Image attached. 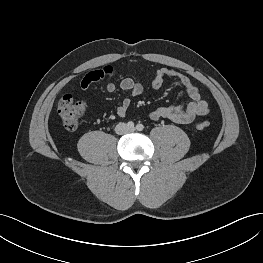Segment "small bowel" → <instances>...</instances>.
Wrapping results in <instances>:
<instances>
[{
    "label": "small bowel",
    "instance_id": "1",
    "mask_svg": "<svg viewBox=\"0 0 263 263\" xmlns=\"http://www.w3.org/2000/svg\"><path fill=\"white\" fill-rule=\"evenodd\" d=\"M114 75L115 71L110 66L90 71L81 79L80 87L82 90L87 91L94 83L104 78H112ZM166 78H172L178 81L186 89L191 101L188 104L161 106L150 113L152 120H169L182 125H190L198 117L208 113V103L202 98L198 87L194 85L189 76L177 70L168 68L157 70L151 79V88L154 90L159 89ZM116 88L113 82L107 83L105 87L109 93L115 92ZM120 88L129 94L128 97L120 102L116 109V114L119 117H123L128 112L131 98L141 95L144 91V86L132 78L127 77L121 80Z\"/></svg>",
    "mask_w": 263,
    "mask_h": 263
}]
</instances>
